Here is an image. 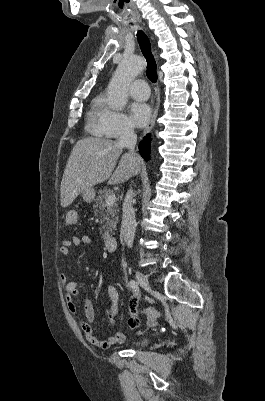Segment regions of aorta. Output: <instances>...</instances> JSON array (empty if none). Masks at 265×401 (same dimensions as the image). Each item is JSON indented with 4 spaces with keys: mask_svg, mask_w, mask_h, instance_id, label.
Listing matches in <instances>:
<instances>
[{
    "mask_svg": "<svg viewBox=\"0 0 265 401\" xmlns=\"http://www.w3.org/2000/svg\"><path fill=\"white\" fill-rule=\"evenodd\" d=\"M144 64L142 58H132V60H122L118 64L108 86L107 102L113 110H121L128 100V86L141 72Z\"/></svg>",
    "mask_w": 265,
    "mask_h": 401,
    "instance_id": "762f6f07",
    "label": "aorta"
}]
</instances>
